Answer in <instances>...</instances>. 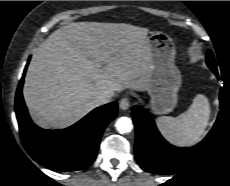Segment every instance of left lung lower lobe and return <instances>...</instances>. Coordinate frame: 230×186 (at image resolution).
I'll return each instance as SVG.
<instances>
[{"label": "left lung lower lobe", "mask_w": 230, "mask_h": 186, "mask_svg": "<svg viewBox=\"0 0 230 186\" xmlns=\"http://www.w3.org/2000/svg\"><path fill=\"white\" fill-rule=\"evenodd\" d=\"M214 74L218 76V72ZM132 116L136 131V159L143 170L155 174H174L193 161L205 148L214 130L194 147L177 148L163 139L151 115L142 106L135 105Z\"/></svg>", "instance_id": "obj_1"}]
</instances>
